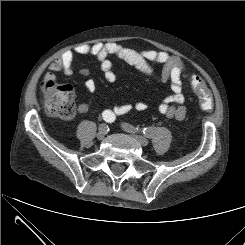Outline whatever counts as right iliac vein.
Listing matches in <instances>:
<instances>
[{
  "instance_id": "63e3f726",
  "label": "right iliac vein",
  "mask_w": 245,
  "mask_h": 245,
  "mask_svg": "<svg viewBox=\"0 0 245 245\" xmlns=\"http://www.w3.org/2000/svg\"><path fill=\"white\" fill-rule=\"evenodd\" d=\"M104 137H105V132L103 131L102 126H100L99 127V131L97 133V138L99 140H102Z\"/></svg>"
}]
</instances>
